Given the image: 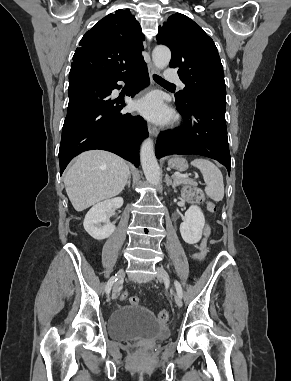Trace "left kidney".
I'll return each mask as SVG.
<instances>
[{
  "mask_svg": "<svg viewBox=\"0 0 291 381\" xmlns=\"http://www.w3.org/2000/svg\"><path fill=\"white\" fill-rule=\"evenodd\" d=\"M204 225L205 217L201 209L196 205L190 206L180 225L183 240L188 244L198 243L202 237Z\"/></svg>",
  "mask_w": 291,
  "mask_h": 381,
  "instance_id": "left-kidney-1",
  "label": "left kidney"
}]
</instances>
